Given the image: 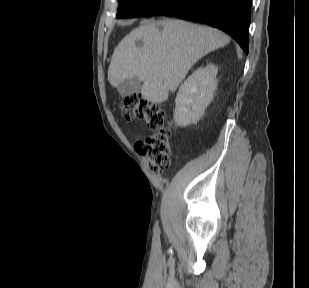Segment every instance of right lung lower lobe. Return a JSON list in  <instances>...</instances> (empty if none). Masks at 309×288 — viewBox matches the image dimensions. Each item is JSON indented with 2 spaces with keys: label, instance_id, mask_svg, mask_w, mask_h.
I'll use <instances>...</instances> for the list:
<instances>
[{
  "label": "right lung lower lobe",
  "instance_id": "98d812e1",
  "mask_svg": "<svg viewBox=\"0 0 309 288\" xmlns=\"http://www.w3.org/2000/svg\"><path fill=\"white\" fill-rule=\"evenodd\" d=\"M252 0H163L142 15L175 16L219 28L248 53Z\"/></svg>",
  "mask_w": 309,
  "mask_h": 288
}]
</instances>
